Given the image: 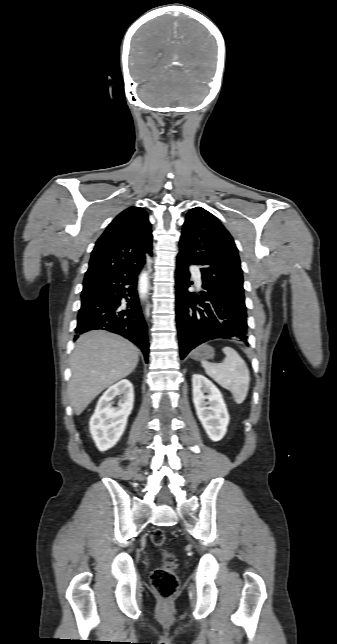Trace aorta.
<instances>
[{"label": "aorta", "instance_id": "aorta-1", "mask_svg": "<svg viewBox=\"0 0 337 644\" xmlns=\"http://www.w3.org/2000/svg\"><path fill=\"white\" fill-rule=\"evenodd\" d=\"M141 292L142 293L147 292V280H146V277H142V279H141Z\"/></svg>", "mask_w": 337, "mask_h": 644}]
</instances>
